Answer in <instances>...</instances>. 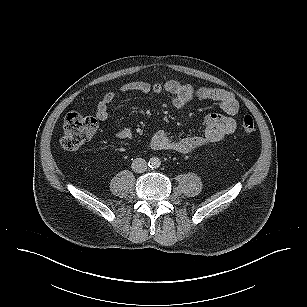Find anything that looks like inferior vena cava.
Masks as SVG:
<instances>
[{"label": "inferior vena cava", "instance_id": "inferior-vena-cava-1", "mask_svg": "<svg viewBox=\"0 0 307 307\" xmlns=\"http://www.w3.org/2000/svg\"><path fill=\"white\" fill-rule=\"evenodd\" d=\"M132 169L134 172H137V173H142V172H145L147 170V162L145 159L143 158H136L133 160L132 162Z\"/></svg>", "mask_w": 307, "mask_h": 307}]
</instances>
